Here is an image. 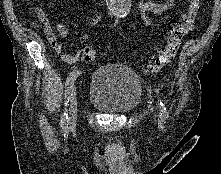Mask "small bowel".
<instances>
[{
  "label": "small bowel",
  "mask_w": 221,
  "mask_h": 174,
  "mask_svg": "<svg viewBox=\"0 0 221 174\" xmlns=\"http://www.w3.org/2000/svg\"><path fill=\"white\" fill-rule=\"evenodd\" d=\"M176 3V0H164V1H155L149 0L144 1L140 0L138 4V9L141 13L142 21L145 26L151 27L152 20L150 15H158L161 14L168 9L172 8ZM39 22L41 23L44 34L48 41L50 42L53 49L58 52L62 53V59L67 64H75L80 57H82L81 50L77 51L75 54H68L63 52L62 44L57 40L54 35V31L58 32L61 37H66L68 35V29L63 24H51L48 20L47 14L43 10H37L36 12ZM101 19L100 13H96L91 21L90 25L94 26L99 23Z\"/></svg>",
  "instance_id": "small-bowel-1"
}]
</instances>
